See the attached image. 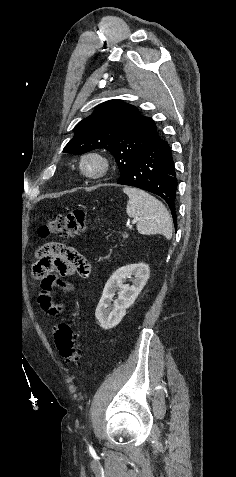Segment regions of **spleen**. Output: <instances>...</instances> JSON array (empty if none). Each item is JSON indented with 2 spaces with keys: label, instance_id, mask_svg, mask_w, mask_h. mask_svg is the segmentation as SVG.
Segmentation results:
<instances>
[{
  "label": "spleen",
  "instance_id": "3e777b00",
  "mask_svg": "<svg viewBox=\"0 0 236 477\" xmlns=\"http://www.w3.org/2000/svg\"><path fill=\"white\" fill-rule=\"evenodd\" d=\"M123 192L129 197L126 213L137 221L139 233L162 234L167 239L172 238L171 217L159 200L137 188L124 187Z\"/></svg>",
  "mask_w": 236,
  "mask_h": 477
}]
</instances>
